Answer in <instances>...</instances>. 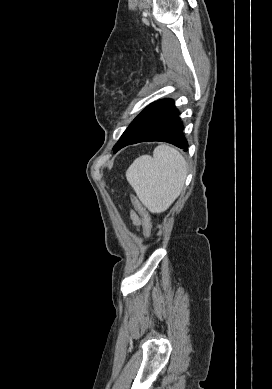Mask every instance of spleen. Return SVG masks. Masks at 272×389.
Returning <instances> with one entry per match:
<instances>
[{
    "label": "spleen",
    "mask_w": 272,
    "mask_h": 389,
    "mask_svg": "<svg viewBox=\"0 0 272 389\" xmlns=\"http://www.w3.org/2000/svg\"><path fill=\"white\" fill-rule=\"evenodd\" d=\"M186 174L184 157L168 145H159L153 157L142 155L135 159L126 178L148 210L161 213L180 195Z\"/></svg>",
    "instance_id": "3e777b00"
}]
</instances>
